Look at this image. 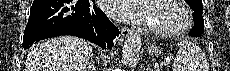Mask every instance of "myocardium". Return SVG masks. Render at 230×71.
Returning a JSON list of instances; mask_svg holds the SVG:
<instances>
[{"instance_id": "myocardium-1", "label": "myocardium", "mask_w": 230, "mask_h": 71, "mask_svg": "<svg viewBox=\"0 0 230 71\" xmlns=\"http://www.w3.org/2000/svg\"><path fill=\"white\" fill-rule=\"evenodd\" d=\"M161 3L172 6L177 9L182 18V24L175 28H161L149 25L147 27L148 31L154 35L162 36V37H175L185 33L192 25V16L187 7L183 5L182 2L176 0H158Z\"/></svg>"}]
</instances>
